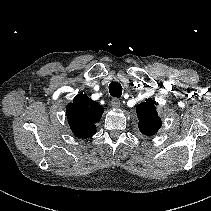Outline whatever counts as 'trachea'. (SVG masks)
Returning a JSON list of instances; mask_svg holds the SVG:
<instances>
[{"instance_id": "trachea-1", "label": "trachea", "mask_w": 211, "mask_h": 211, "mask_svg": "<svg viewBox=\"0 0 211 211\" xmlns=\"http://www.w3.org/2000/svg\"><path fill=\"white\" fill-rule=\"evenodd\" d=\"M109 93L111 96L119 98L122 95V86L118 82H112L109 85Z\"/></svg>"}]
</instances>
